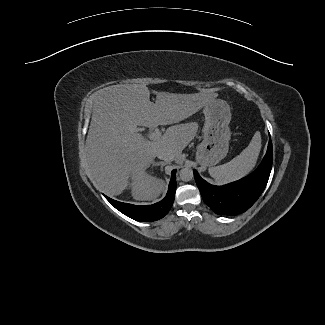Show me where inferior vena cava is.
<instances>
[{
    "label": "inferior vena cava",
    "instance_id": "602c4592",
    "mask_svg": "<svg viewBox=\"0 0 325 325\" xmlns=\"http://www.w3.org/2000/svg\"><path fill=\"white\" fill-rule=\"evenodd\" d=\"M156 156L161 159V160H164L166 162H171L175 159V155L169 151V150H166V149H161L157 152Z\"/></svg>",
    "mask_w": 325,
    "mask_h": 325
}]
</instances>
